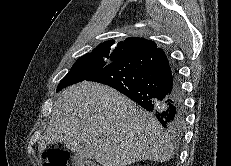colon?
<instances>
[{"mask_svg": "<svg viewBox=\"0 0 231 166\" xmlns=\"http://www.w3.org/2000/svg\"><path fill=\"white\" fill-rule=\"evenodd\" d=\"M70 156L60 149H50L44 154V166H68ZM86 166H94L92 164Z\"/></svg>", "mask_w": 231, "mask_h": 166, "instance_id": "obj_1", "label": "colon"}]
</instances>
